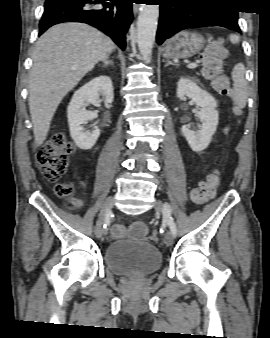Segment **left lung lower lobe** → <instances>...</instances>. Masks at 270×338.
<instances>
[{
    "mask_svg": "<svg viewBox=\"0 0 270 338\" xmlns=\"http://www.w3.org/2000/svg\"><path fill=\"white\" fill-rule=\"evenodd\" d=\"M224 0H161L156 40L162 44L181 30L199 26H221L241 32L238 11L223 8Z\"/></svg>",
    "mask_w": 270,
    "mask_h": 338,
    "instance_id": "0a47b994",
    "label": "left lung lower lobe"
}]
</instances>
